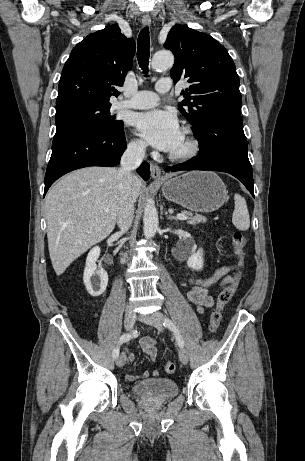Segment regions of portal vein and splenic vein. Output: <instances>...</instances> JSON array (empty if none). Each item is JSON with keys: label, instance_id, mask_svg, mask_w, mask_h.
Instances as JSON below:
<instances>
[{"label": "portal vein and splenic vein", "instance_id": "18ae733b", "mask_svg": "<svg viewBox=\"0 0 305 461\" xmlns=\"http://www.w3.org/2000/svg\"><path fill=\"white\" fill-rule=\"evenodd\" d=\"M177 219H179V220H187L188 217H187L186 214L182 213V214H177Z\"/></svg>", "mask_w": 305, "mask_h": 461}]
</instances>
